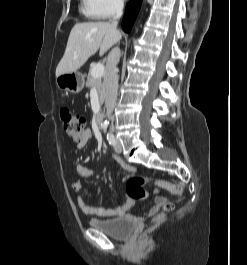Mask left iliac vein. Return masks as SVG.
I'll use <instances>...</instances> for the list:
<instances>
[{"mask_svg": "<svg viewBox=\"0 0 247 265\" xmlns=\"http://www.w3.org/2000/svg\"><path fill=\"white\" fill-rule=\"evenodd\" d=\"M115 151L117 153H121L122 152V145L120 143V141L118 139H116V144H115V147H114Z\"/></svg>", "mask_w": 247, "mask_h": 265, "instance_id": "1", "label": "left iliac vein"}]
</instances>
